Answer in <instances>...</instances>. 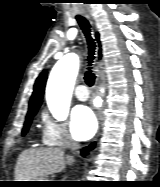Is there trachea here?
Segmentation results:
<instances>
[{
	"instance_id": "trachea-1",
	"label": "trachea",
	"mask_w": 160,
	"mask_h": 187,
	"mask_svg": "<svg viewBox=\"0 0 160 187\" xmlns=\"http://www.w3.org/2000/svg\"><path fill=\"white\" fill-rule=\"evenodd\" d=\"M78 24L80 25L87 43H88V49H89V56H88V70L85 73L84 79L85 82L88 86H93L94 82H95V74L92 72V63H93V59H94V54H95V42L94 39L91 37V25L89 24V22L83 18V17H77L76 18Z\"/></svg>"
}]
</instances>
